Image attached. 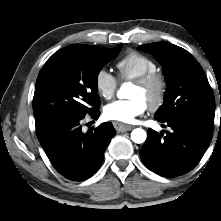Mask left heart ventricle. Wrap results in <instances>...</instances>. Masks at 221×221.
Here are the masks:
<instances>
[{
    "label": "left heart ventricle",
    "mask_w": 221,
    "mask_h": 221,
    "mask_svg": "<svg viewBox=\"0 0 221 221\" xmlns=\"http://www.w3.org/2000/svg\"><path fill=\"white\" fill-rule=\"evenodd\" d=\"M151 95H152L151 89L140 88L135 84L132 85L129 92V98H139L142 101H144L146 104L150 99Z\"/></svg>",
    "instance_id": "left-heart-ventricle-1"
}]
</instances>
